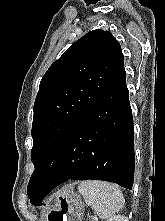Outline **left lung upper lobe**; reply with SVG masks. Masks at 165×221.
I'll use <instances>...</instances> for the list:
<instances>
[{
	"mask_svg": "<svg viewBox=\"0 0 165 221\" xmlns=\"http://www.w3.org/2000/svg\"><path fill=\"white\" fill-rule=\"evenodd\" d=\"M124 68L121 46L109 31L93 30L73 43L42 77L32 123L35 170L30 201L61 145Z\"/></svg>",
	"mask_w": 165,
	"mask_h": 221,
	"instance_id": "1",
	"label": "left lung upper lobe"
}]
</instances>
